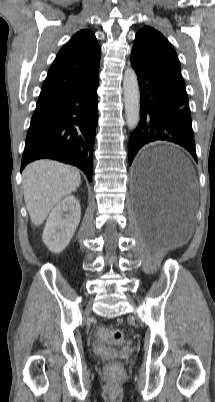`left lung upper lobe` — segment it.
I'll return each mask as SVG.
<instances>
[{"label":"left lung upper lobe","instance_id":"left-lung-upper-lobe-1","mask_svg":"<svg viewBox=\"0 0 215 402\" xmlns=\"http://www.w3.org/2000/svg\"><path fill=\"white\" fill-rule=\"evenodd\" d=\"M131 64L162 75L185 90L175 50L159 31L150 26L143 27L136 34Z\"/></svg>","mask_w":215,"mask_h":402}]
</instances>
